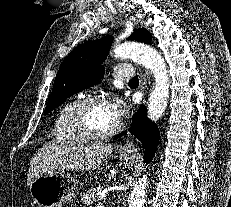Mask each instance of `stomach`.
Wrapping results in <instances>:
<instances>
[{
	"instance_id": "obj_1",
	"label": "stomach",
	"mask_w": 231,
	"mask_h": 207,
	"mask_svg": "<svg viewBox=\"0 0 231 207\" xmlns=\"http://www.w3.org/2000/svg\"><path fill=\"white\" fill-rule=\"evenodd\" d=\"M125 166L131 167L134 159L121 154ZM79 193L78 182L69 174L60 171H48L39 175L30 185V194L40 207H60L72 201Z\"/></svg>"
}]
</instances>
